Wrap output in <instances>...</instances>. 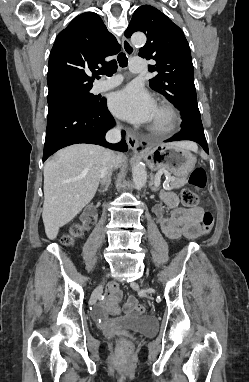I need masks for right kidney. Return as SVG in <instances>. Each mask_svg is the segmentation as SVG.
<instances>
[{
  "mask_svg": "<svg viewBox=\"0 0 249 382\" xmlns=\"http://www.w3.org/2000/svg\"><path fill=\"white\" fill-rule=\"evenodd\" d=\"M97 211L96 204H89L81 215V221L85 230H91L95 224V217H88L90 214H94Z\"/></svg>",
  "mask_w": 249,
  "mask_h": 382,
  "instance_id": "right-kidney-1",
  "label": "right kidney"
}]
</instances>
